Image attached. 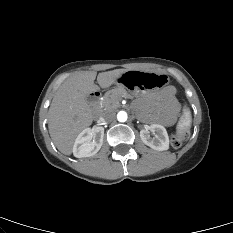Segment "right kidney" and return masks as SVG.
Instances as JSON below:
<instances>
[{
    "mask_svg": "<svg viewBox=\"0 0 233 233\" xmlns=\"http://www.w3.org/2000/svg\"><path fill=\"white\" fill-rule=\"evenodd\" d=\"M104 128L84 129L76 138L73 155L77 158L95 155L103 144Z\"/></svg>",
    "mask_w": 233,
    "mask_h": 233,
    "instance_id": "right-kidney-1",
    "label": "right kidney"
}]
</instances>
